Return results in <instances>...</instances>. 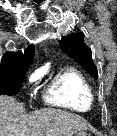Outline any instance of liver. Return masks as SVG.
<instances>
[{
	"instance_id": "1",
	"label": "liver",
	"mask_w": 117,
	"mask_h": 136,
	"mask_svg": "<svg viewBox=\"0 0 117 136\" xmlns=\"http://www.w3.org/2000/svg\"><path fill=\"white\" fill-rule=\"evenodd\" d=\"M87 128V123L72 113L47 108L25 114L22 103L0 96V136H72Z\"/></svg>"
}]
</instances>
